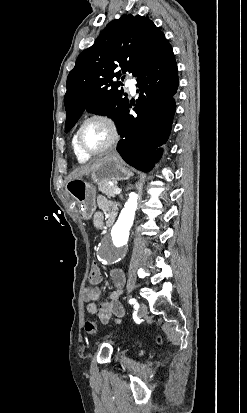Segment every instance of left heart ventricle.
Masks as SVG:
<instances>
[{"label": "left heart ventricle", "instance_id": "obj_1", "mask_svg": "<svg viewBox=\"0 0 247 413\" xmlns=\"http://www.w3.org/2000/svg\"><path fill=\"white\" fill-rule=\"evenodd\" d=\"M111 135V128L108 125L94 122L83 129L80 139L86 149L95 151L106 145Z\"/></svg>", "mask_w": 247, "mask_h": 413}]
</instances>
